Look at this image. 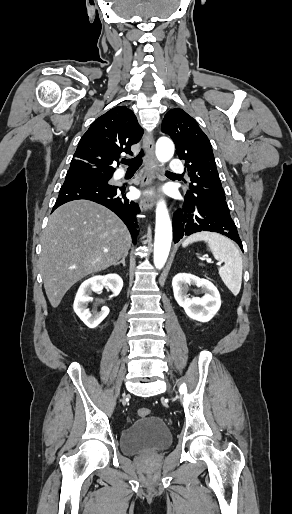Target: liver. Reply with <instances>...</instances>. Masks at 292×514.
I'll return each mask as SVG.
<instances>
[{"label":"liver","instance_id":"6515ba94","mask_svg":"<svg viewBox=\"0 0 292 514\" xmlns=\"http://www.w3.org/2000/svg\"><path fill=\"white\" fill-rule=\"evenodd\" d=\"M41 248L44 288L52 308H57L73 284L128 256L131 236L122 220L104 206L74 200L49 216Z\"/></svg>","mask_w":292,"mask_h":514}]
</instances>
